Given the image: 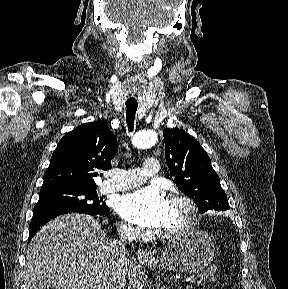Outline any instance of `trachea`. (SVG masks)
Wrapping results in <instances>:
<instances>
[{
    "label": "trachea",
    "mask_w": 288,
    "mask_h": 289,
    "mask_svg": "<svg viewBox=\"0 0 288 289\" xmlns=\"http://www.w3.org/2000/svg\"><path fill=\"white\" fill-rule=\"evenodd\" d=\"M130 99L125 102L126 105V122L128 126L129 132L133 131L134 128V119H135V113L137 111L138 103L135 100V92H130Z\"/></svg>",
    "instance_id": "obj_1"
}]
</instances>
